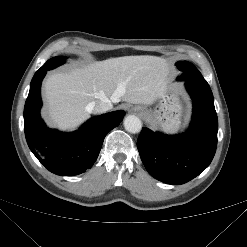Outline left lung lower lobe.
Returning a JSON list of instances; mask_svg holds the SVG:
<instances>
[{"instance_id": "left-lung-lower-lobe-1", "label": "left lung lower lobe", "mask_w": 247, "mask_h": 247, "mask_svg": "<svg viewBox=\"0 0 247 247\" xmlns=\"http://www.w3.org/2000/svg\"><path fill=\"white\" fill-rule=\"evenodd\" d=\"M193 100L189 130L182 135H165L143 127L137 140L141 160L157 180L184 184L204 171L217 147L218 120L213 94L206 80L179 79Z\"/></svg>"}]
</instances>
